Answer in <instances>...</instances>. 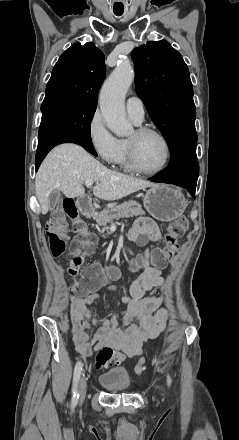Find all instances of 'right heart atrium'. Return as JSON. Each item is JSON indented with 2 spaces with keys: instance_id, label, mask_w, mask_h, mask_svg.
Masks as SVG:
<instances>
[{
  "instance_id": "d8ad5b80",
  "label": "right heart atrium",
  "mask_w": 239,
  "mask_h": 440,
  "mask_svg": "<svg viewBox=\"0 0 239 440\" xmlns=\"http://www.w3.org/2000/svg\"><path fill=\"white\" fill-rule=\"evenodd\" d=\"M87 135L90 145L107 165L118 164L123 151L122 141L109 131L98 110L93 113L88 123Z\"/></svg>"
}]
</instances>
